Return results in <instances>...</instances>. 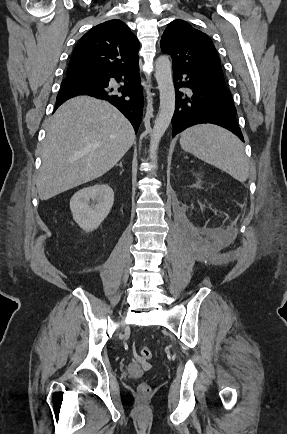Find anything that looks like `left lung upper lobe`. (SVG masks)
I'll list each match as a JSON object with an SVG mask.
<instances>
[{"instance_id":"1","label":"left lung upper lobe","mask_w":287,"mask_h":434,"mask_svg":"<svg viewBox=\"0 0 287 434\" xmlns=\"http://www.w3.org/2000/svg\"><path fill=\"white\" fill-rule=\"evenodd\" d=\"M161 50L171 55L173 66L201 73L226 86L211 39L189 23L183 20L169 23L161 38Z\"/></svg>"}]
</instances>
